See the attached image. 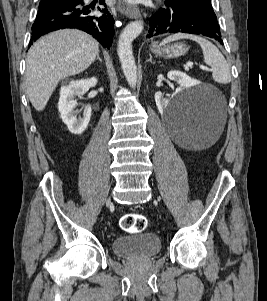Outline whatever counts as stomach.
Wrapping results in <instances>:
<instances>
[{
	"instance_id": "1",
	"label": "stomach",
	"mask_w": 267,
	"mask_h": 301,
	"mask_svg": "<svg viewBox=\"0 0 267 301\" xmlns=\"http://www.w3.org/2000/svg\"><path fill=\"white\" fill-rule=\"evenodd\" d=\"M151 50L158 56L164 58H176L184 55L188 48L182 43L175 44H165V45H156L151 46Z\"/></svg>"
}]
</instances>
